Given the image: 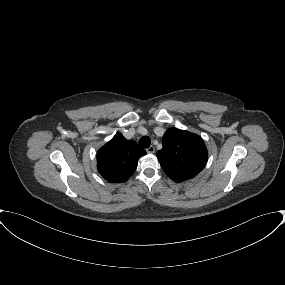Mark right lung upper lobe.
Listing matches in <instances>:
<instances>
[{"label": "right lung upper lobe", "mask_w": 285, "mask_h": 285, "mask_svg": "<svg viewBox=\"0 0 285 285\" xmlns=\"http://www.w3.org/2000/svg\"><path fill=\"white\" fill-rule=\"evenodd\" d=\"M145 154L146 151L135 141L116 133L97 153L98 172L111 183L125 182L136 170L139 158Z\"/></svg>", "instance_id": "cb5924a9"}]
</instances>
